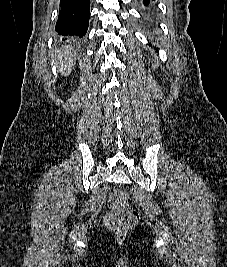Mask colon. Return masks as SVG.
I'll return each mask as SVG.
<instances>
[{"mask_svg": "<svg viewBox=\"0 0 227 267\" xmlns=\"http://www.w3.org/2000/svg\"><path fill=\"white\" fill-rule=\"evenodd\" d=\"M128 195L117 189L110 196L111 210L105 216L106 228L115 236H125L139 221L137 210L127 206Z\"/></svg>", "mask_w": 227, "mask_h": 267, "instance_id": "colon-1", "label": "colon"}]
</instances>
